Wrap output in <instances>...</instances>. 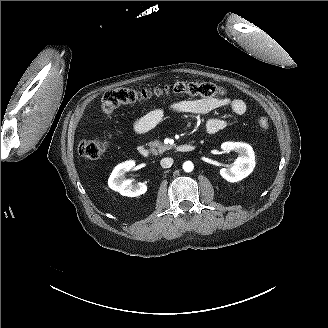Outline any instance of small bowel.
<instances>
[{
    "label": "small bowel",
    "instance_id": "obj_1",
    "mask_svg": "<svg viewBox=\"0 0 328 328\" xmlns=\"http://www.w3.org/2000/svg\"><path fill=\"white\" fill-rule=\"evenodd\" d=\"M221 107H229L235 114L243 115L247 106L242 99L238 98H198L187 99L171 104L167 109H154L136 119L133 123V130L137 134H144L152 130L166 116L167 112L206 114ZM228 126L226 120L212 118L206 123V131L209 134H216Z\"/></svg>",
    "mask_w": 328,
    "mask_h": 328
}]
</instances>
